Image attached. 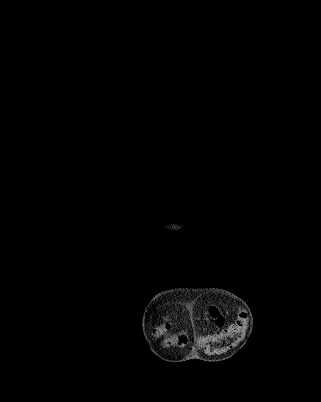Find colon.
Wrapping results in <instances>:
<instances>
[{
  "instance_id": "obj_1",
  "label": "colon",
  "mask_w": 321,
  "mask_h": 402,
  "mask_svg": "<svg viewBox=\"0 0 321 402\" xmlns=\"http://www.w3.org/2000/svg\"><path fill=\"white\" fill-rule=\"evenodd\" d=\"M248 326V317L241 312L236 321L220 332L200 339L201 348L209 353H216L232 347L244 335ZM168 324L161 325L157 328L156 334L165 339L167 344L183 345L186 337L180 334H172Z\"/></svg>"
}]
</instances>
